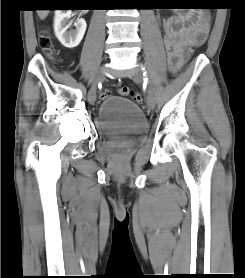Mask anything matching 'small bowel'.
<instances>
[{
  "label": "small bowel",
  "instance_id": "obj_1",
  "mask_svg": "<svg viewBox=\"0 0 245 278\" xmlns=\"http://www.w3.org/2000/svg\"><path fill=\"white\" fill-rule=\"evenodd\" d=\"M163 32L168 66L177 71L184 65L189 49L200 46L206 41L208 27L203 15L194 13L187 18L171 17L167 19L163 23Z\"/></svg>",
  "mask_w": 245,
  "mask_h": 278
}]
</instances>
